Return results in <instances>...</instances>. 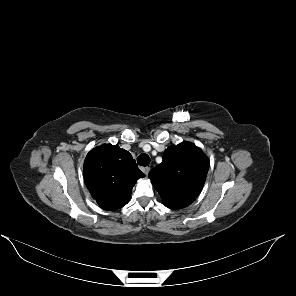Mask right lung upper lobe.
<instances>
[{
	"instance_id": "1",
	"label": "right lung upper lobe",
	"mask_w": 296,
	"mask_h": 296,
	"mask_svg": "<svg viewBox=\"0 0 296 296\" xmlns=\"http://www.w3.org/2000/svg\"><path fill=\"white\" fill-rule=\"evenodd\" d=\"M83 169L90 194L101 208L109 211L127 204L133 186L145 176L128 151L111 144L92 149Z\"/></svg>"
}]
</instances>
